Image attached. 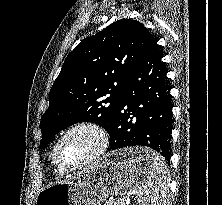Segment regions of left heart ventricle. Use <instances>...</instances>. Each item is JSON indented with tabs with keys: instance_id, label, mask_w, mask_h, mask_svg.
Returning a JSON list of instances; mask_svg holds the SVG:
<instances>
[{
	"instance_id": "left-heart-ventricle-1",
	"label": "left heart ventricle",
	"mask_w": 222,
	"mask_h": 205,
	"mask_svg": "<svg viewBox=\"0 0 222 205\" xmlns=\"http://www.w3.org/2000/svg\"><path fill=\"white\" fill-rule=\"evenodd\" d=\"M97 145V137L89 130H77L58 146L56 157L63 167H72L87 157Z\"/></svg>"
}]
</instances>
